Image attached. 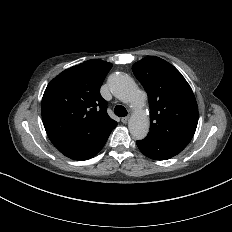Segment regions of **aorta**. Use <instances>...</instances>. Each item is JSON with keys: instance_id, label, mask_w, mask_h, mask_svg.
Wrapping results in <instances>:
<instances>
[{"instance_id": "1", "label": "aorta", "mask_w": 232, "mask_h": 232, "mask_svg": "<svg viewBox=\"0 0 232 232\" xmlns=\"http://www.w3.org/2000/svg\"><path fill=\"white\" fill-rule=\"evenodd\" d=\"M108 82L114 96L134 108V112L128 121L131 135L138 140L144 139L150 127L149 117L142 109L147 98L146 93L140 90L135 81L127 74H112Z\"/></svg>"}]
</instances>
